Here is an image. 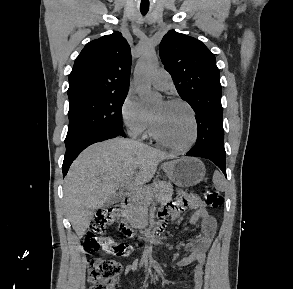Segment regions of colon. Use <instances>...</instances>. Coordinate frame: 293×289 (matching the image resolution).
Returning <instances> with one entry per match:
<instances>
[{
	"mask_svg": "<svg viewBox=\"0 0 293 289\" xmlns=\"http://www.w3.org/2000/svg\"><path fill=\"white\" fill-rule=\"evenodd\" d=\"M204 196L212 208L217 209L220 207L222 197L217 191L206 190ZM119 210V204L109 206L102 209L91 220L83 239V246L87 252L93 253L102 248L105 252L120 257L129 256L133 253L135 248L132 244L102 237L105 228L114 222ZM162 212L168 211L164 210ZM122 270V265L117 261L101 258L90 259L88 261L90 289H113Z\"/></svg>",
	"mask_w": 293,
	"mask_h": 289,
	"instance_id": "5ec220e1",
	"label": "colon"
}]
</instances>
